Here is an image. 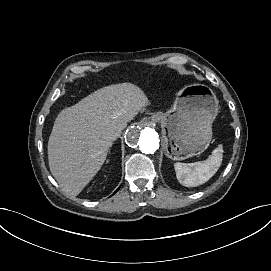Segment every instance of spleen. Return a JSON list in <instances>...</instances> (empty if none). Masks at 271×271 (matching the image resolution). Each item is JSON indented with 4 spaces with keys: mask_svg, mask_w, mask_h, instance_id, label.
<instances>
[{
    "mask_svg": "<svg viewBox=\"0 0 271 271\" xmlns=\"http://www.w3.org/2000/svg\"><path fill=\"white\" fill-rule=\"evenodd\" d=\"M222 149H214L211 156L204 161L194 163H174V169L177 177H187L194 181L195 185L207 181L219 168L222 161Z\"/></svg>",
    "mask_w": 271,
    "mask_h": 271,
    "instance_id": "1",
    "label": "spleen"
}]
</instances>
